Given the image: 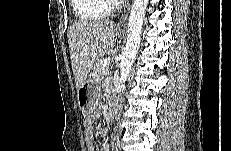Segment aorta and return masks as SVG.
<instances>
[{"instance_id": "1", "label": "aorta", "mask_w": 231, "mask_h": 151, "mask_svg": "<svg viewBox=\"0 0 231 151\" xmlns=\"http://www.w3.org/2000/svg\"><path fill=\"white\" fill-rule=\"evenodd\" d=\"M148 0H134L127 29V42L120 63V81H125L135 61L141 40V31Z\"/></svg>"}]
</instances>
